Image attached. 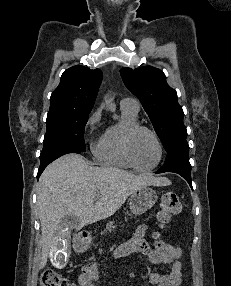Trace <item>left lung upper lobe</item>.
<instances>
[{
    "label": "left lung upper lobe",
    "mask_w": 231,
    "mask_h": 286,
    "mask_svg": "<svg viewBox=\"0 0 231 286\" xmlns=\"http://www.w3.org/2000/svg\"><path fill=\"white\" fill-rule=\"evenodd\" d=\"M120 73L126 87L141 101L166 151L173 143L186 140L184 113L163 71L145 66L122 68Z\"/></svg>",
    "instance_id": "5c2ea615"
}]
</instances>
